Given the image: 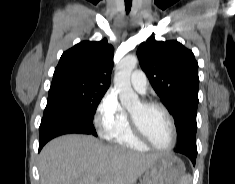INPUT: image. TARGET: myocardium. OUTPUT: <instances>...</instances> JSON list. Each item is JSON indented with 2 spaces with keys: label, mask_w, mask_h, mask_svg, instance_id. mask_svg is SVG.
Segmentation results:
<instances>
[{
  "label": "myocardium",
  "mask_w": 235,
  "mask_h": 184,
  "mask_svg": "<svg viewBox=\"0 0 235 184\" xmlns=\"http://www.w3.org/2000/svg\"><path fill=\"white\" fill-rule=\"evenodd\" d=\"M141 104L146 109L156 107V108L162 109L165 112V114L167 115V117L169 118V121H170L171 141H170V144L165 148H160V147L156 146L152 142V140L147 136V134L143 131V129L139 126V124L136 122V120L133 118V116L130 115L131 129H132V132H133L134 136L138 140H140L141 142H143L144 144H146L147 146H149L151 149H153L156 152L170 153L174 149V147L176 145V142H177V127H176V121H175V118H174L173 114L168 109V107L165 106L164 104H162L161 102L142 101Z\"/></svg>",
  "instance_id": "1"
}]
</instances>
